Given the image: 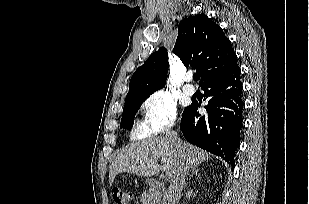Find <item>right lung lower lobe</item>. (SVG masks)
<instances>
[{
    "label": "right lung lower lobe",
    "instance_id": "right-lung-lower-lobe-1",
    "mask_svg": "<svg viewBox=\"0 0 309 204\" xmlns=\"http://www.w3.org/2000/svg\"><path fill=\"white\" fill-rule=\"evenodd\" d=\"M241 70H231L206 80L201 88L208 99L207 114L197 112L198 104L185 108L180 128L186 140L210 153L222 157L234 166L235 150L240 144L243 127V86Z\"/></svg>",
    "mask_w": 309,
    "mask_h": 204
}]
</instances>
